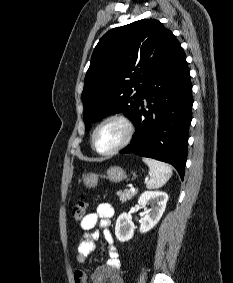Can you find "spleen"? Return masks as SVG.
<instances>
[{"label":"spleen","instance_id":"1","mask_svg":"<svg viewBox=\"0 0 233 283\" xmlns=\"http://www.w3.org/2000/svg\"><path fill=\"white\" fill-rule=\"evenodd\" d=\"M143 162L149 167V180L146 182L148 189H157L162 187L171 177V167L151 158H142Z\"/></svg>","mask_w":233,"mask_h":283}]
</instances>
